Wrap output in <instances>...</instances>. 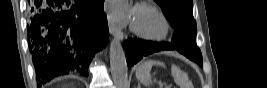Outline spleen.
Segmentation results:
<instances>
[{"instance_id":"obj_1","label":"spleen","mask_w":267,"mask_h":88,"mask_svg":"<svg viewBox=\"0 0 267 88\" xmlns=\"http://www.w3.org/2000/svg\"><path fill=\"white\" fill-rule=\"evenodd\" d=\"M153 65L165 67V64L161 61L149 60L142 63L136 70L137 79L145 86L150 85V70ZM171 75L173 76L175 83L178 84L180 88H187V76L178 66L172 65Z\"/></svg>"}]
</instances>
